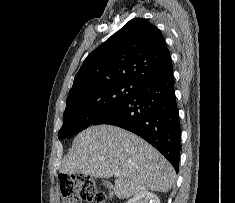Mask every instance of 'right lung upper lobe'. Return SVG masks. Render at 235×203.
Returning <instances> with one entry per match:
<instances>
[{
  "label": "right lung upper lobe",
  "instance_id": "1",
  "mask_svg": "<svg viewBox=\"0 0 235 203\" xmlns=\"http://www.w3.org/2000/svg\"><path fill=\"white\" fill-rule=\"evenodd\" d=\"M172 67L170 52L159 30L134 18L84 60L70 90L111 80L141 83Z\"/></svg>",
  "mask_w": 235,
  "mask_h": 203
}]
</instances>
